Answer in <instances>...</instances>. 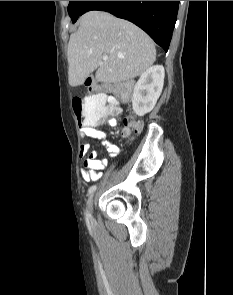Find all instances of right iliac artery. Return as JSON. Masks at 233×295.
I'll use <instances>...</instances> for the list:
<instances>
[{
    "label": "right iliac artery",
    "instance_id": "1",
    "mask_svg": "<svg viewBox=\"0 0 233 295\" xmlns=\"http://www.w3.org/2000/svg\"><path fill=\"white\" fill-rule=\"evenodd\" d=\"M96 190V185H92L88 190V195L92 194ZM90 215L86 212V218L88 219Z\"/></svg>",
    "mask_w": 233,
    "mask_h": 295
}]
</instances>
